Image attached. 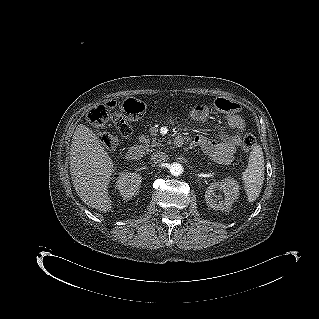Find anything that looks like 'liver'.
Wrapping results in <instances>:
<instances>
[{
    "label": "liver",
    "instance_id": "6515ba94",
    "mask_svg": "<svg viewBox=\"0 0 319 319\" xmlns=\"http://www.w3.org/2000/svg\"><path fill=\"white\" fill-rule=\"evenodd\" d=\"M114 164L96 134L80 124L72 137L70 174L78 196L101 212L112 210L108 185Z\"/></svg>",
    "mask_w": 319,
    "mask_h": 319
}]
</instances>
